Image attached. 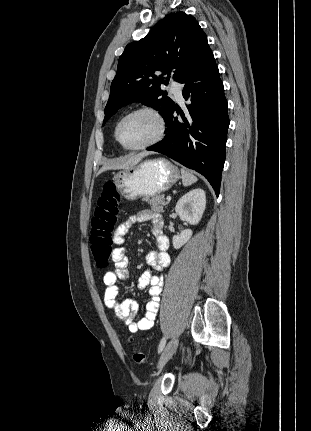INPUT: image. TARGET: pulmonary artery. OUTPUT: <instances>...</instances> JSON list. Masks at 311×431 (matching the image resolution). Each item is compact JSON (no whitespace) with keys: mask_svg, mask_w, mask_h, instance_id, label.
Wrapping results in <instances>:
<instances>
[{"mask_svg":"<svg viewBox=\"0 0 311 431\" xmlns=\"http://www.w3.org/2000/svg\"><path fill=\"white\" fill-rule=\"evenodd\" d=\"M170 91L174 94V96L177 98V100L182 101L183 95L182 91L183 88L179 82L173 81L170 83Z\"/></svg>","mask_w":311,"mask_h":431,"instance_id":"obj_1","label":"pulmonary artery"}]
</instances>
